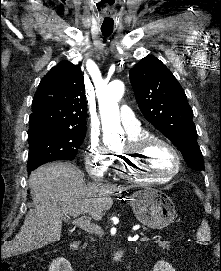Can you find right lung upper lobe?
Returning a JSON list of instances; mask_svg holds the SVG:
<instances>
[{"mask_svg":"<svg viewBox=\"0 0 221 271\" xmlns=\"http://www.w3.org/2000/svg\"><path fill=\"white\" fill-rule=\"evenodd\" d=\"M29 130L86 131L87 101L78 65L61 61L44 76L32 102Z\"/></svg>","mask_w":221,"mask_h":271,"instance_id":"right-lung-upper-lobe-1","label":"right lung upper lobe"}]
</instances>
